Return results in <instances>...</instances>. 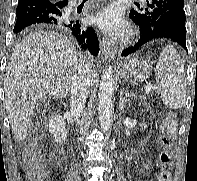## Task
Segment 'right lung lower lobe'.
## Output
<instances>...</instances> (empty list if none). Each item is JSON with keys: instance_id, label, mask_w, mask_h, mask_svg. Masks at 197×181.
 I'll list each match as a JSON object with an SVG mask.
<instances>
[{"instance_id": "1", "label": "right lung lower lobe", "mask_w": 197, "mask_h": 181, "mask_svg": "<svg viewBox=\"0 0 197 181\" xmlns=\"http://www.w3.org/2000/svg\"><path fill=\"white\" fill-rule=\"evenodd\" d=\"M67 4L68 1L19 0L14 32L18 33L31 25H48L64 29L77 39L84 50L88 49L96 56L99 52V42L94 29L81 26L79 21L64 18L62 9Z\"/></svg>"}]
</instances>
